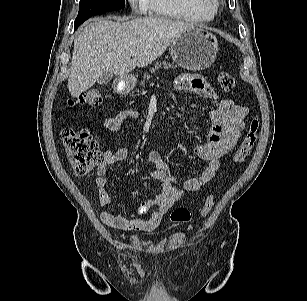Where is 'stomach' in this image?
Masks as SVG:
<instances>
[{"label":"stomach","mask_w":307,"mask_h":301,"mask_svg":"<svg viewBox=\"0 0 307 301\" xmlns=\"http://www.w3.org/2000/svg\"><path fill=\"white\" fill-rule=\"evenodd\" d=\"M218 50L215 37L209 31L197 27L183 31L170 48L174 62L191 71H200L212 65ZM135 84L136 78L133 75H125L116 79L113 89L118 94H126Z\"/></svg>","instance_id":"1"}]
</instances>
